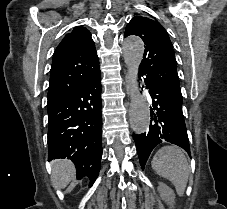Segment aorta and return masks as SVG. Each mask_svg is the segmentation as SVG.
Listing matches in <instances>:
<instances>
[{
	"instance_id": "762f6f07",
	"label": "aorta",
	"mask_w": 227,
	"mask_h": 209,
	"mask_svg": "<svg viewBox=\"0 0 227 209\" xmlns=\"http://www.w3.org/2000/svg\"><path fill=\"white\" fill-rule=\"evenodd\" d=\"M123 54L132 76L130 124L136 134L147 131L149 126V109L146 100L137 86L139 65L144 54V43L136 36L128 37L123 43Z\"/></svg>"
}]
</instances>
